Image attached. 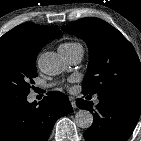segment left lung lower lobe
<instances>
[{"label":"left lung lower lobe","mask_w":141,"mask_h":141,"mask_svg":"<svg viewBox=\"0 0 141 141\" xmlns=\"http://www.w3.org/2000/svg\"><path fill=\"white\" fill-rule=\"evenodd\" d=\"M98 99L95 109L91 102H76L78 107L94 112V122L84 132L86 141H126L140 117L141 95L101 93Z\"/></svg>","instance_id":"1"}]
</instances>
